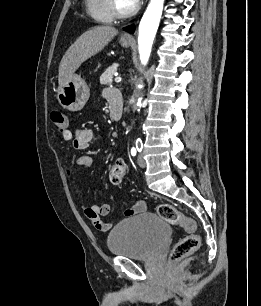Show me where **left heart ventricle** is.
Here are the masks:
<instances>
[{"label":"left heart ventricle","instance_id":"obj_1","mask_svg":"<svg viewBox=\"0 0 261 306\" xmlns=\"http://www.w3.org/2000/svg\"><path fill=\"white\" fill-rule=\"evenodd\" d=\"M117 6L122 10H127L133 6L129 0H116Z\"/></svg>","mask_w":261,"mask_h":306}]
</instances>
